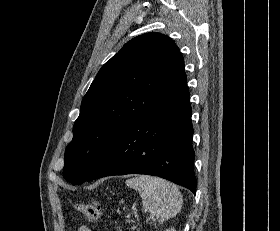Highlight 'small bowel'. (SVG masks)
Returning <instances> with one entry per match:
<instances>
[{"label":"small bowel","mask_w":280,"mask_h":231,"mask_svg":"<svg viewBox=\"0 0 280 231\" xmlns=\"http://www.w3.org/2000/svg\"><path fill=\"white\" fill-rule=\"evenodd\" d=\"M78 231H91L90 228L87 225H81L78 228Z\"/></svg>","instance_id":"obj_1"}]
</instances>
